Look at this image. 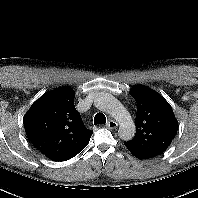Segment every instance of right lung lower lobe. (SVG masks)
<instances>
[{
    "label": "right lung lower lobe",
    "instance_id": "98d812e1",
    "mask_svg": "<svg viewBox=\"0 0 198 198\" xmlns=\"http://www.w3.org/2000/svg\"><path fill=\"white\" fill-rule=\"evenodd\" d=\"M82 149L75 151V152H71V153H67V154H63L60 156H56V157H51L49 159L53 160V161H65L68 159H71L72 157L76 156Z\"/></svg>",
    "mask_w": 198,
    "mask_h": 198
}]
</instances>
